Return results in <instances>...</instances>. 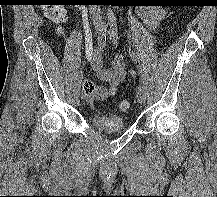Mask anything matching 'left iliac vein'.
I'll list each match as a JSON object with an SVG mask.
<instances>
[{"instance_id":"4c4485c4","label":"left iliac vein","mask_w":217,"mask_h":197,"mask_svg":"<svg viewBox=\"0 0 217 197\" xmlns=\"http://www.w3.org/2000/svg\"><path fill=\"white\" fill-rule=\"evenodd\" d=\"M136 97H137V101L140 104H143L146 100V92L145 89L142 85H138L137 89H136Z\"/></svg>"}]
</instances>
